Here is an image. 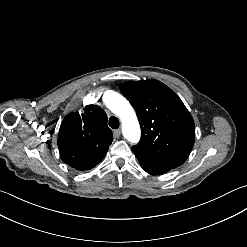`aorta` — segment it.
<instances>
[{
  "label": "aorta",
  "instance_id": "1",
  "mask_svg": "<svg viewBox=\"0 0 247 247\" xmlns=\"http://www.w3.org/2000/svg\"><path fill=\"white\" fill-rule=\"evenodd\" d=\"M103 101L121 119L123 136L128 141L137 143L141 136L140 125L130 103L114 91H106Z\"/></svg>",
  "mask_w": 247,
  "mask_h": 247
}]
</instances>
